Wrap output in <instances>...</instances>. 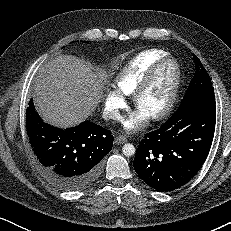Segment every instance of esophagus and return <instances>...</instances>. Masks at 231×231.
Returning <instances> with one entry per match:
<instances>
[{
  "label": "esophagus",
  "mask_w": 231,
  "mask_h": 231,
  "mask_svg": "<svg viewBox=\"0 0 231 231\" xmlns=\"http://www.w3.org/2000/svg\"><path fill=\"white\" fill-rule=\"evenodd\" d=\"M127 142V139L124 136H117L115 138V144L116 145H122Z\"/></svg>",
  "instance_id": "esophagus-1"
}]
</instances>
